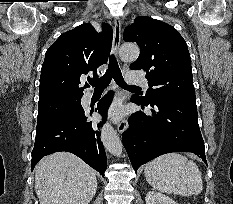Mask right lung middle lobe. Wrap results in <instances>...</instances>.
Here are the masks:
<instances>
[{
    "mask_svg": "<svg viewBox=\"0 0 233 204\" xmlns=\"http://www.w3.org/2000/svg\"><path fill=\"white\" fill-rule=\"evenodd\" d=\"M82 109L81 96L60 97L38 104L37 129Z\"/></svg>",
    "mask_w": 233,
    "mask_h": 204,
    "instance_id": "obj_1",
    "label": "right lung middle lobe"
}]
</instances>
